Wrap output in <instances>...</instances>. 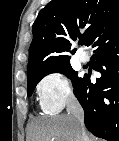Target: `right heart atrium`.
Returning a JSON list of instances; mask_svg holds the SVG:
<instances>
[{
  "label": "right heart atrium",
  "mask_w": 119,
  "mask_h": 141,
  "mask_svg": "<svg viewBox=\"0 0 119 141\" xmlns=\"http://www.w3.org/2000/svg\"><path fill=\"white\" fill-rule=\"evenodd\" d=\"M36 91L41 108L48 113L58 112L74 99L70 80L59 71L50 72L41 78Z\"/></svg>",
  "instance_id": "d8ad5b80"
}]
</instances>
